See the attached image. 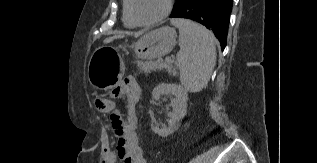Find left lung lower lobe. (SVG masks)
<instances>
[{
    "label": "left lung lower lobe",
    "instance_id": "1",
    "mask_svg": "<svg viewBox=\"0 0 317 163\" xmlns=\"http://www.w3.org/2000/svg\"><path fill=\"white\" fill-rule=\"evenodd\" d=\"M233 0H178L170 17L194 20L214 32L224 50Z\"/></svg>",
    "mask_w": 317,
    "mask_h": 163
}]
</instances>
